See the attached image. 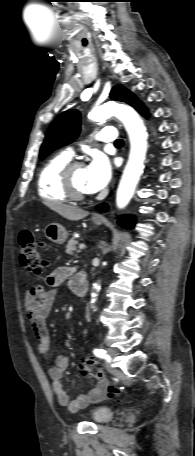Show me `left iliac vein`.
Wrapping results in <instances>:
<instances>
[{
  "label": "left iliac vein",
  "instance_id": "obj_1",
  "mask_svg": "<svg viewBox=\"0 0 195 456\" xmlns=\"http://www.w3.org/2000/svg\"><path fill=\"white\" fill-rule=\"evenodd\" d=\"M107 353H108V357H109L108 361H111V359L117 355V351L113 348H108Z\"/></svg>",
  "mask_w": 195,
  "mask_h": 456
}]
</instances>
